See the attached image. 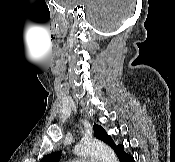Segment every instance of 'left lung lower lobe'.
Returning a JSON list of instances; mask_svg holds the SVG:
<instances>
[{
    "instance_id": "0a47b994",
    "label": "left lung lower lobe",
    "mask_w": 175,
    "mask_h": 162,
    "mask_svg": "<svg viewBox=\"0 0 175 162\" xmlns=\"http://www.w3.org/2000/svg\"><path fill=\"white\" fill-rule=\"evenodd\" d=\"M116 152L120 162H134V158L124 152V146L122 144L112 146Z\"/></svg>"
}]
</instances>
